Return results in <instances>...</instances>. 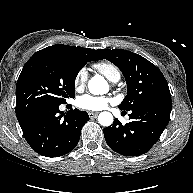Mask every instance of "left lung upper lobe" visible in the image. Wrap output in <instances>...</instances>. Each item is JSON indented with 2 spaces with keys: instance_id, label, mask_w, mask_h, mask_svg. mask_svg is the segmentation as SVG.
Wrapping results in <instances>:
<instances>
[{
  "instance_id": "obj_1",
  "label": "left lung upper lobe",
  "mask_w": 193,
  "mask_h": 193,
  "mask_svg": "<svg viewBox=\"0 0 193 193\" xmlns=\"http://www.w3.org/2000/svg\"><path fill=\"white\" fill-rule=\"evenodd\" d=\"M98 51L102 58L114 63L126 79L127 95L119 105L120 109L131 111L163 97L171 96L162 72L144 57L123 49Z\"/></svg>"
}]
</instances>
